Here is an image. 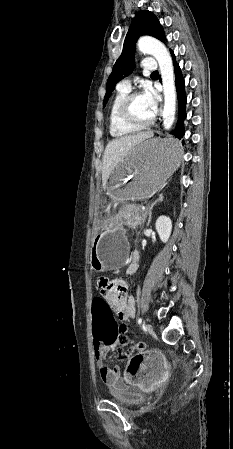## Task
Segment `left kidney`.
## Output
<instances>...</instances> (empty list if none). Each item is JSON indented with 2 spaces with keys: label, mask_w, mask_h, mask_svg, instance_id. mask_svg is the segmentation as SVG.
<instances>
[{
  "label": "left kidney",
  "mask_w": 233,
  "mask_h": 449,
  "mask_svg": "<svg viewBox=\"0 0 233 449\" xmlns=\"http://www.w3.org/2000/svg\"><path fill=\"white\" fill-rule=\"evenodd\" d=\"M156 231L159 234L160 240L166 243L170 237L172 230V221L169 217L160 216L155 223Z\"/></svg>",
  "instance_id": "left-kidney-1"
}]
</instances>
